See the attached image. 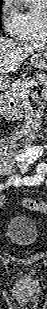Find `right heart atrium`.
<instances>
[{
  "instance_id": "obj_1",
  "label": "right heart atrium",
  "mask_w": 47,
  "mask_h": 309,
  "mask_svg": "<svg viewBox=\"0 0 47 309\" xmlns=\"http://www.w3.org/2000/svg\"><path fill=\"white\" fill-rule=\"evenodd\" d=\"M2 25L4 31L12 36L16 37L21 28V16L22 13L15 5L14 0L2 1Z\"/></svg>"
}]
</instances>
